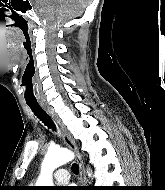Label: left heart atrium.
I'll list each match as a JSON object with an SVG mask.
<instances>
[{"label":"left heart atrium","instance_id":"39dd6f15","mask_svg":"<svg viewBox=\"0 0 165 190\" xmlns=\"http://www.w3.org/2000/svg\"><path fill=\"white\" fill-rule=\"evenodd\" d=\"M64 190H74L72 187H67Z\"/></svg>","mask_w":165,"mask_h":190}]
</instances>
